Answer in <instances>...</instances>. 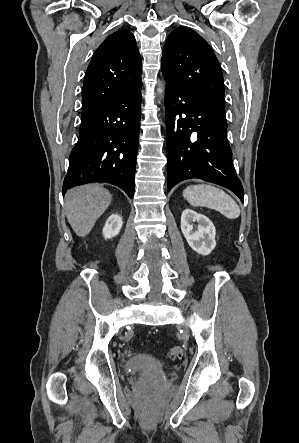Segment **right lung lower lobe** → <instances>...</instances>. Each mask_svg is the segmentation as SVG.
Listing matches in <instances>:
<instances>
[{
  "instance_id": "right-lung-lower-lobe-1",
  "label": "right lung lower lobe",
  "mask_w": 299,
  "mask_h": 443,
  "mask_svg": "<svg viewBox=\"0 0 299 443\" xmlns=\"http://www.w3.org/2000/svg\"><path fill=\"white\" fill-rule=\"evenodd\" d=\"M142 83L82 116L79 140L69 158L62 193L90 182H107L133 198Z\"/></svg>"
}]
</instances>
